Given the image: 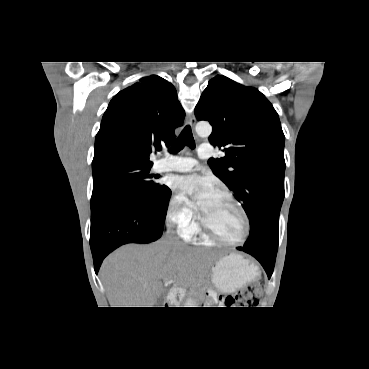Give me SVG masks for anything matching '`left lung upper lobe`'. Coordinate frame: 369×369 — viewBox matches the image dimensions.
Listing matches in <instances>:
<instances>
[{
  "label": "left lung upper lobe",
  "instance_id": "obj_1",
  "mask_svg": "<svg viewBox=\"0 0 369 369\" xmlns=\"http://www.w3.org/2000/svg\"><path fill=\"white\" fill-rule=\"evenodd\" d=\"M195 116L210 122L209 141L225 152L208 163L248 215L244 246L277 251L285 137L274 107L256 88L217 75L203 91Z\"/></svg>",
  "mask_w": 369,
  "mask_h": 369
}]
</instances>
